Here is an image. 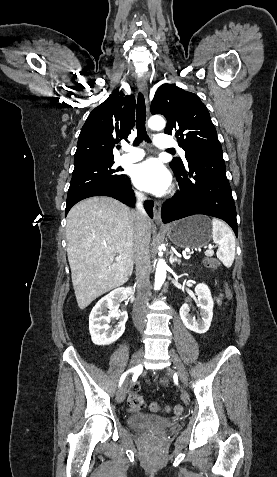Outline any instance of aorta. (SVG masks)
Returning a JSON list of instances; mask_svg holds the SVG:
<instances>
[{
	"instance_id": "762f6f07",
	"label": "aorta",
	"mask_w": 277,
	"mask_h": 477,
	"mask_svg": "<svg viewBox=\"0 0 277 477\" xmlns=\"http://www.w3.org/2000/svg\"><path fill=\"white\" fill-rule=\"evenodd\" d=\"M165 120L161 116H152L148 120V126L152 130H162L165 127ZM167 264L163 259H159L155 273V289H159L166 279Z\"/></svg>"
}]
</instances>
